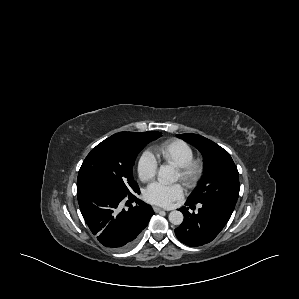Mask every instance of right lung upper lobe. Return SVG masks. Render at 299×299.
I'll list each match as a JSON object with an SVG mask.
<instances>
[{"mask_svg":"<svg viewBox=\"0 0 299 299\" xmlns=\"http://www.w3.org/2000/svg\"><path fill=\"white\" fill-rule=\"evenodd\" d=\"M140 133L136 132H119L115 135L121 138L124 141L133 142L138 139Z\"/></svg>","mask_w":299,"mask_h":299,"instance_id":"1","label":"right lung upper lobe"}]
</instances>
